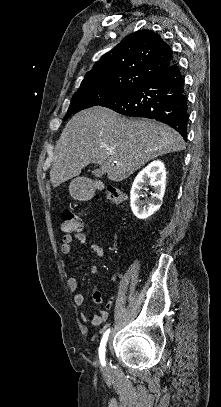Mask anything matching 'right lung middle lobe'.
Masks as SVG:
<instances>
[{
  "label": "right lung middle lobe",
  "instance_id": "obj_1",
  "mask_svg": "<svg viewBox=\"0 0 221 407\" xmlns=\"http://www.w3.org/2000/svg\"><path fill=\"white\" fill-rule=\"evenodd\" d=\"M136 86H92L77 90L72 96L65 119L83 109L96 105L101 106L109 101L115 100L125 95Z\"/></svg>",
  "mask_w": 221,
  "mask_h": 407
}]
</instances>
